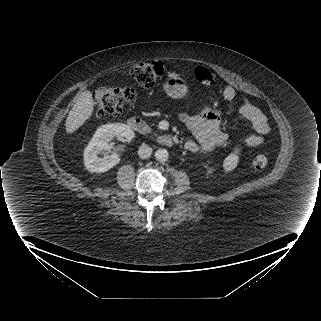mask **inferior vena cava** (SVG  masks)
<instances>
[{
    "label": "inferior vena cava",
    "instance_id": "1",
    "mask_svg": "<svg viewBox=\"0 0 321 321\" xmlns=\"http://www.w3.org/2000/svg\"><path fill=\"white\" fill-rule=\"evenodd\" d=\"M152 154V148L147 144H142L139 147L138 155L140 158H148Z\"/></svg>",
    "mask_w": 321,
    "mask_h": 321
}]
</instances>
